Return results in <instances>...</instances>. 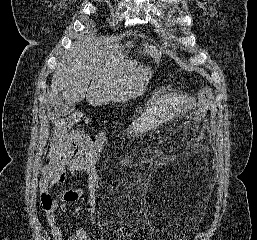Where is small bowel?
<instances>
[{
    "label": "small bowel",
    "instance_id": "1",
    "mask_svg": "<svg viewBox=\"0 0 257 240\" xmlns=\"http://www.w3.org/2000/svg\"><path fill=\"white\" fill-rule=\"evenodd\" d=\"M107 140V133L99 132L94 139L77 131L61 129L50 142L47 155V164L41 169L40 187L43 195L49 194L56 185H64L67 173L73 175L85 174L88 176L90 188V203L88 207L76 206L72 210L86 211L91 226L96 224L95 218V186L97 182L96 164L102 148ZM83 190H64L58 201H53L51 207L46 208V219L54 240H97L89 227H80L74 233L65 236L57 223L56 210L69 212V204L77 202ZM42 195V196H43ZM117 240H132L131 233L124 229L117 230Z\"/></svg>",
    "mask_w": 257,
    "mask_h": 240
}]
</instances>
